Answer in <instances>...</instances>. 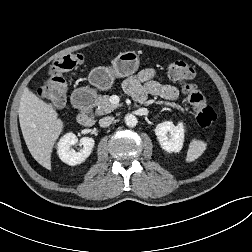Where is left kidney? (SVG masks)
I'll return each instance as SVG.
<instances>
[{
    "instance_id": "5707ae66",
    "label": "left kidney",
    "mask_w": 252,
    "mask_h": 252,
    "mask_svg": "<svg viewBox=\"0 0 252 252\" xmlns=\"http://www.w3.org/2000/svg\"><path fill=\"white\" fill-rule=\"evenodd\" d=\"M157 139L165 151L179 152L182 149L184 142V127L183 123L175 126L170 121L160 123L155 128Z\"/></svg>"
}]
</instances>
